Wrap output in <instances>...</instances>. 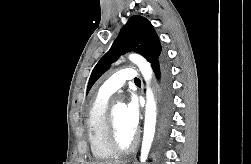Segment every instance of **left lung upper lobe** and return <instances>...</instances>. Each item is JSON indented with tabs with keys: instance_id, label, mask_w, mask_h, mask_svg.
Returning <instances> with one entry per match:
<instances>
[{
	"instance_id": "1",
	"label": "left lung upper lobe",
	"mask_w": 251,
	"mask_h": 164,
	"mask_svg": "<svg viewBox=\"0 0 251 164\" xmlns=\"http://www.w3.org/2000/svg\"><path fill=\"white\" fill-rule=\"evenodd\" d=\"M159 38L146 18L134 15L121 29L110 50L99 60L89 79L87 92L98 78L107 71L118 57L127 51H135L143 55L153 67L159 62L161 54Z\"/></svg>"
}]
</instances>
